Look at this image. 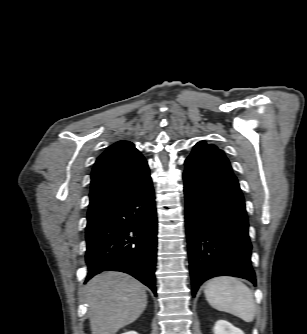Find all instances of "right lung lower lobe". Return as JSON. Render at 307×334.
Masks as SVG:
<instances>
[{"label":"right lung lower lobe","instance_id":"98d812e1","mask_svg":"<svg viewBox=\"0 0 307 334\" xmlns=\"http://www.w3.org/2000/svg\"><path fill=\"white\" fill-rule=\"evenodd\" d=\"M87 282L102 271L128 273L156 295L157 217L151 178L88 218Z\"/></svg>","mask_w":307,"mask_h":334}]
</instances>
